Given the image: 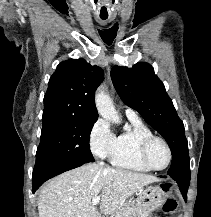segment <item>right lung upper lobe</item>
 Here are the masks:
<instances>
[{"label":"right lung upper lobe","instance_id":"cb5924a9","mask_svg":"<svg viewBox=\"0 0 211 217\" xmlns=\"http://www.w3.org/2000/svg\"><path fill=\"white\" fill-rule=\"evenodd\" d=\"M103 75L100 67L91 66L82 58L61 62L49 80L43 119L75 117L97 120L94 94Z\"/></svg>","mask_w":211,"mask_h":217}]
</instances>
